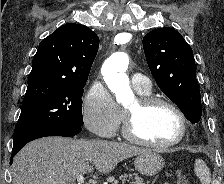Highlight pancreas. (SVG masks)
<instances>
[{"label":"pancreas","mask_w":224,"mask_h":184,"mask_svg":"<svg viewBox=\"0 0 224 184\" xmlns=\"http://www.w3.org/2000/svg\"><path fill=\"white\" fill-rule=\"evenodd\" d=\"M127 181H130V180H127ZM113 184H118V181H115ZM130 184H146V183L143 181V179L137 178L135 180H132Z\"/></svg>","instance_id":"1"}]
</instances>
